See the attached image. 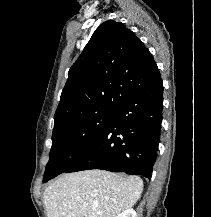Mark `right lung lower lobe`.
<instances>
[{
  "mask_svg": "<svg viewBox=\"0 0 211 217\" xmlns=\"http://www.w3.org/2000/svg\"><path fill=\"white\" fill-rule=\"evenodd\" d=\"M162 109L160 77L125 100L101 138L65 172L101 169L150 179L157 158Z\"/></svg>",
  "mask_w": 211,
  "mask_h": 217,
  "instance_id": "1",
  "label": "right lung lower lobe"
}]
</instances>
